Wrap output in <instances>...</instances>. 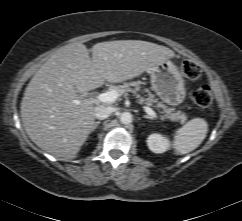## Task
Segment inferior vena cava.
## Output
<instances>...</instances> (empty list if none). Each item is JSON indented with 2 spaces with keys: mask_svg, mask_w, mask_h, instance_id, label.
Listing matches in <instances>:
<instances>
[{
  "mask_svg": "<svg viewBox=\"0 0 242 221\" xmlns=\"http://www.w3.org/2000/svg\"><path fill=\"white\" fill-rule=\"evenodd\" d=\"M94 112L97 119L104 120L114 112V108L105 105H98L95 107Z\"/></svg>",
  "mask_w": 242,
  "mask_h": 221,
  "instance_id": "inferior-vena-cava-1",
  "label": "inferior vena cava"
}]
</instances>
